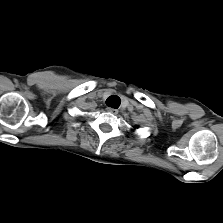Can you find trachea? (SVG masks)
Listing matches in <instances>:
<instances>
[{
	"label": "trachea",
	"instance_id": "3493384b",
	"mask_svg": "<svg viewBox=\"0 0 223 223\" xmlns=\"http://www.w3.org/2000/svg\"><path fill=\"white\" fill-rule=\"evenodd\" d=\"M121 100L117 95H112L110 97L107 98L106 100V104L109 107L115 108L117 109L120 106Z\"/></svg>",
	"mask_w": 223,
	"mask_h": 223
}]
</instances>
